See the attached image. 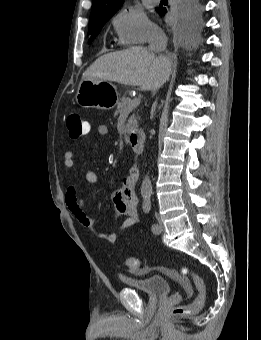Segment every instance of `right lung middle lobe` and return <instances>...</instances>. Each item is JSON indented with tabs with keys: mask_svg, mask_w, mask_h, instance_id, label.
<instances>
[{
	"mask_svg": "<svg viewBox=\"0 0 261 340\" xmlns=\"http://www.w3.org/2000/svg\"><path fill=\"white\" fill-rule=\"evenodd\" d=\"M178 15L181 21L182 30L187 35L197 34L203 24L202 6L199 0H183L179 4ZM111 17L103 18L89 24L88 43H91L99 34L101 28Z\"/></svg>",
	"mask_w": 261,
	"mask_h": 340,
	"instance_id": "right-lung-middle-lobe-1",
	"label": "right lung middle lobe"
}]
</instances>
